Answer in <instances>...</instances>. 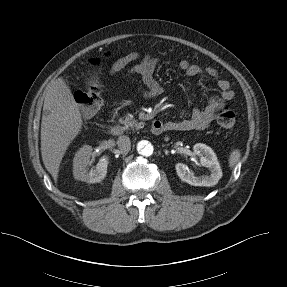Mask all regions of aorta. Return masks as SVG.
I'll return each mask as SVG.
<instances>
[{"label": "aorta", "mask_w": 287, "mask_h": 287, "mask_svg": "<svg viewBox=\"0 0 287 287\" xmlns=\"http://www.w3.org/2000/svg\"><path fill=\"white\" fill-rule=\"evenodd\" d=\"M137 151L140 155L149 157L153 154L154 147L148 140H141L137 143Z\"/></svg>", "instance_id": "obj_1"}]
</instances>
